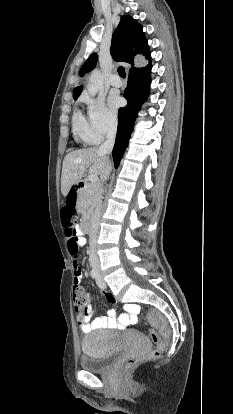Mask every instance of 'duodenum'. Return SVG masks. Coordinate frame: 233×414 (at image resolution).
<instances>
[{
	"label": "duodenum",
	"mask_w": 233,
	"mask_h": 414,
	"mask_svg": "<svg viewBox=\"0 0 233 414\" xmlns=\"http://www.w3.org/2000/svg\"><path fill=\"white\" fill-rule=\"evenodd\" d=\"M86 188V183L83 180H76L72 185V195L67 197V202L63 205L65 212H72L76 206V196ZM82 231L85 233L93 232V224L90 219H85L82 223Z\"/></svg>",
	"instance_id": "obj_1"
}]
</instances>
